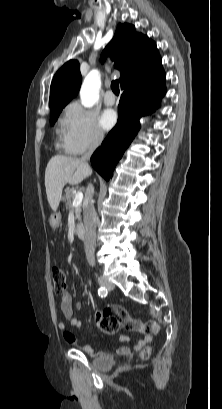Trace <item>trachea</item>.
Returning a JSON list of instances; mask_svg holds the SVG:
<instances>
[{
	"instance_id": "1",
	"label": "trachea",
	"mask_w": 222,
	"mask_h": 409,
	"mask_svg": "<svg viewBox=\"0 0 222 409\" xmlns=\"http://www.w3.org/2000/svg\"><path fill=\"white\" fill-rule=\"evenodd\" d=\"M111 88L115 94H119V82L117 80L112 81Z\"/></svg>"
}]
</instances>
